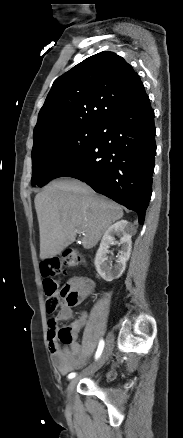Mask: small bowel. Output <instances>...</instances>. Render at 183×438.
I'll return each mask as SVG.
<instances>
[{"instance_id": "c3829d8e", "label": "small bowel", "mask_w": 183, "mask_h": 438, "mask_svg": "<svg viewBox=\"0 0 183 438\" xmlns=\"http://www.w3.org/2000/svg\"><path fill=\"white\" fill-rule=\"evenodd\" d=\"M66 285L78 293V304L89 297L94 290V282L83 276L70 279ZM72 307V305L64 303L56 316V321L70 320L73 314ZM87 319L88 314L82 312L80 317L71 323L75 335L82 330ZM48 341L52 363L61 374L65 375L83 363L85 352L81 344L74 339L70 343H63L64 346H60L56 333L50 329Z\"/></svg>"}]
</instances>
